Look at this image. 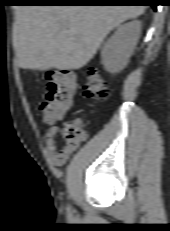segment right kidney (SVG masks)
<instances>
[{
  "label": "right kidney",
  "instance_id": "1",
  "mask_svg": "<svg viewBox=\"0 0 170 231\" xmlns=\"http://www.w3.org/2000/svg\"><path fill=\"white\" fill-rule=\"evenodd\" d=\"M140 31L141 22L138 20L118 27L101 52L102 64L106 71L116 73L127 65L140 37Z\"/></svg>",
  "mask_w": 170,
  "mask_h": 231
}]
</instances>
